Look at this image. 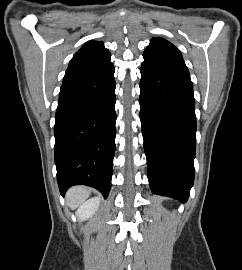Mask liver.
Returning a JSON list of instances; mask_svg holds the SVG:
<instances>
[{"label":"liver","instance_id":"6515ba94","mask_svg":"<svg viewBox=\"0 0 242 270\" xmlns=\"http://www.w3.org/2000/svg\"><path fill=\"white\" fill-rule=\"evenodd\" d=\"M90 189L83 186L72 187L66 195L67 205L71 209L79 207L89 196Z\"/></svg>","mask_w":242,"mask_h":270}]
</instances>
